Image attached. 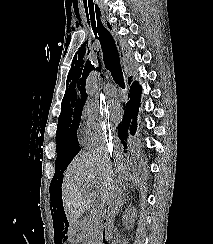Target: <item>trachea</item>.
Here are the masks:
<instances>
[{
	"mask_svg": "<svg viewBox=\"0 0 213 244\" xmlns=\"http://www.w3.org/2000/svg\"><path fill=\"white\" fill-rule=\"evenodd\" d=\"M86 14L88 20L90 18L92 30L95 34V37L100 41L103 52V60L106 69L111 73L115 83L118 84L122 89H124L125 82L120 64L118 50L112 35L103 26L101 22L100 9L98 7H95V9L94 7L91 9L89 8V13L87 9Z\"/></svg>",
	"mask_w": 213,
	"mask_h": 244,
	"instance_id": "3493384b",
	"label": "trachea"
}]
</instances>
